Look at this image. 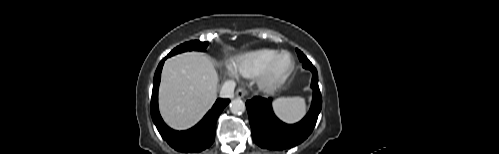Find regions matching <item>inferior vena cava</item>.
I'll return each instance as SVG.
<instances>
[{
  "mask_svg": "<svg viewBox=\"0 0 499 154\" xmlns=\"http://www.w3.org/2000/svg\"><path fill=\"white\" fill-rule=\"evenodd\" d=\"M236 83L233 80L225 81L220 90L221 98H233Z\"/></svg>",
  "mask_w": 499,
  "mask_h": 154,
  "instance_id": "1",
  "label": "inferior vena cava"
}]
</instances>
